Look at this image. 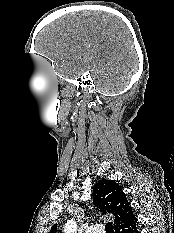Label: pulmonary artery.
Here are the masks:
<instances>
[{"instance_id":"obj_1","label":"pulmonary artery","mask_w":174,"mask_h":233,"mask_svg":"<svg viewBox=\"0 0 174 233\" xmlns=\"http://www.w3.org/2000/svg\"><path fill=\"white\" fill-rule=\"evenodd\" d=\"M87 233H105L101 225H91L87 229Z\"/></svg>"}]
</instances>
